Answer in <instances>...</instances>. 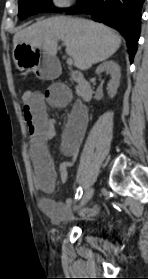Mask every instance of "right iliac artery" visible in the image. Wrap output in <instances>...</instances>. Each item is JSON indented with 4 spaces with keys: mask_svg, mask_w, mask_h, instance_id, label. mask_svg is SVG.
Listing matches in <instances>:
<instances>
[{
    "mask_svg": "<svg viewBox=\"0 0 148 279\" xmlns=\"http://www.w3.org/2000/svg\"><path fill=\"white\" fill-rule=\"evenodd\" d=\"M82 194H83L82 188L78 187L76 195H75V202H77L82 197Z\"/></svg>",
    "mask_w": 148,
    "mask_h": 279,
    "instance_id": "1",
    "label": "right iliac artery"
}]
</instances>
